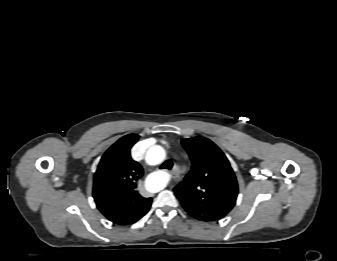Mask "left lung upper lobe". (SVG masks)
Wrapping results in <instances>:
<instances>
[{
  "label": "left lung upper lobe",
  "mask_w": 337,
  "mask_h": 261,
  "mask_svg": "<svg viewBox=\"0 0 337 261\" xmlns=\"http://www.w3.org/2000/svg\"><path fill=\"white\" fill-rule=\"evenodd\" d=\"M192 168L174 193L193 218L212 222L227 215L236 203L238 185L224 153L209 139H182Z\"/></svg>",
  "instance_id": "1"
}]
</instances>
